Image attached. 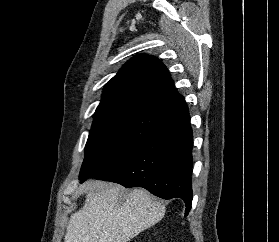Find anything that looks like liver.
<instances>
[{
    "instance_id": "1",
    "label": "liver",
    "mask_w": 279,
    "mask_h": 242,
    "mask_svg": "<svg viewBox=\"0 0 279 242\" xmlns=\"http://www.w3.org/2000/svg\"><path fill=\"white\" fill-rule=\"evenodd\" d=\"M81 210L71 215L64 242H128L158 223L165 206L144 189L89 180Z\"/></svg>"
}]
</instances>
